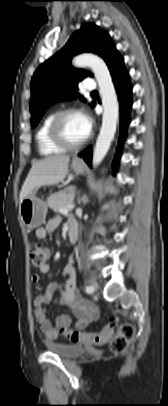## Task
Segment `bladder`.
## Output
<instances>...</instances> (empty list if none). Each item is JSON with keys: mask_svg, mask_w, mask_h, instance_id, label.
<instances>
[{"mask_svg": "<svg viewBox=\"0 0 168 406\" xmlns=\"http://www.w3.org/2000/svg\"><path fill=\"white\" fill-rule=\"evenodd\" d=\"M56 355L64 359H74L84 352V348L75 344L47 345Z\"/></svg>", "mask_w": 168, "mask_h": 406, "instance_id": "bladder-1", "label": "bladder"}]
</instances>
